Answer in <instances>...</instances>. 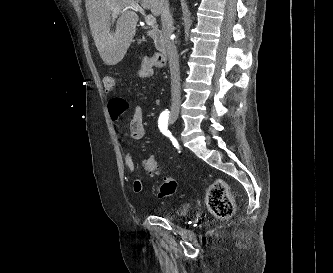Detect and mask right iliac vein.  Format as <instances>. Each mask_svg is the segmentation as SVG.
<instances>
[{
	"label": "right iliac vein",
	"mask_w": 333,
	"mask_h": 273,
	"mask_svg": "<svg viewBox=\"0 0 333 273\" xmlns=\"http://www.w3.org/2000/svg\"><path fill=\"white\" fill-rule=\"evenodd\" d=\"M177 119H178V114L176 112H171L170 113V121L172 123H175L177 121Z\"/></svg>",
	"instance_id": "1"
}]
</instances>
